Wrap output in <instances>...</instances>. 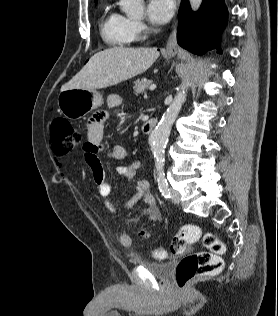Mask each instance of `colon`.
Masks as SVG:
<instances>
[{"mask_svg":"<svg viewBox=\"0 0 278 316\" xmlns=\"http://www.w3.org/2000/svg\"><path fill=\"white\" fill-rule=\"evenodd\" d=\"M50 142L54 154L61 156L76 149L82 142V134L66 119H55L50 130ZM141 235L149 238L150 234L143 229ZM202 239L208 251H199L185 256L176 269V283L185 288L193 279L219 272L223 266L220 257L224 253V245L220 239L211 232H203L201 227L187 224L180 228L173 237L170 250L172 254H182L187 246ZM157 258L166 256L165 250L158 248L153 252Z\"/></svg>","mask_w":278,"mask_h":316,"instance_id":"1","label":"colon"}]
</instances>
